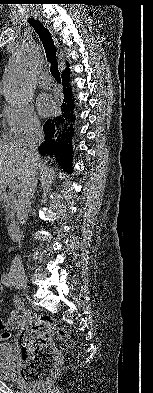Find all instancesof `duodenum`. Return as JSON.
<instances>
[{
  "instance_id": "410a0bca",
  "label": "duodenum",
  "mask_w": 153,
  "mask_h": 393,
  "mask_svg": "<svg viewBox=\"0 0 153 393\" xmlns=\"http://www.w3.org/2000/svg\"><path fill=\"white\" fill-rule=\"evenodd\" d=\"M8 234L10 238L16 239L20 234V226L17 221H11L8 227Z\"/></svg>"
}]
</instances>
